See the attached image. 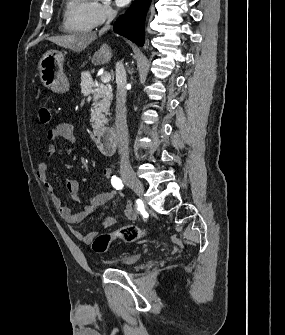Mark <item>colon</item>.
<instances>
[{"label": "colon", "instance_id": "5ec220e1", "mask_svg": "<svg viewBox=\"0 0 285 335\" xmlns=\"http://www.w3.org/2000/svg\"><path fill=\"white\" fill-rule=\"evenodd\" d=\"M37 116L40 123L43 125H48L51 122V111L45 103H40L37 106ZM145 234V229L134 225H128L119 228L114 232L96 234L91 241V247L96 253H104L108 251L115 240L132 243L141 239Z\"/></svg>", "mask_w": 285, "mask_h": 335}]
</instances>
